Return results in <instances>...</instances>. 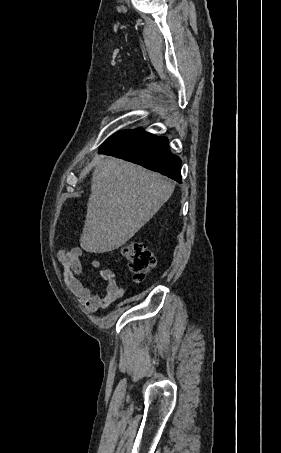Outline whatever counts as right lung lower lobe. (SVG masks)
<instances>
[{
	"instance_id": "right-lung-lower-lobe-1",
	"label": "right lung lower lobe",
	"mask_w": 281,
	"mask_h": 453,
	"mask_svg": "<svg viewBox=\"0 0 281 453\" xmlns=\"http://www.w3.org/2000/svg\"><path fill=\"white\" fill-rule=\"evenodd\" d=\"M99 153L142 165L181 183V160L171 153L166 137L149 134L141 128L120 131L101 145Z\"/></svg>"
}]
</instances>
